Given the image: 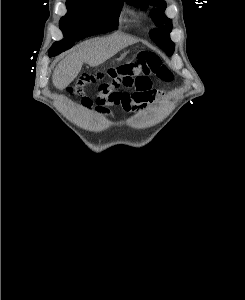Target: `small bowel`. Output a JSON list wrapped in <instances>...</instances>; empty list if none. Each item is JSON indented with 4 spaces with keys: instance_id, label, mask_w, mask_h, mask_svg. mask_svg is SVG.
I'll list each match as a JSON object with an SVG mask.
<instances>
[{
    "instance_id": "c3829d8e",
    "label": "small bowel",
    "mask_w": 245,
    "mask_h": 300,
    "mask_svg": "<svg viewBox=\"0 0 245 300\" xmlns=\"http://www.w3.org/2000/svg\"><path fill=\"white\" fill-rule=\"evenodd\" d=\"M82 107L96 114L111 116L109 106H121L127 112H137L152 104L156 98L151 80L142 75L131 87H125L117 78L104 81L99 85L93 101L82 92Z\"/></svg>"
}]
</instances>
